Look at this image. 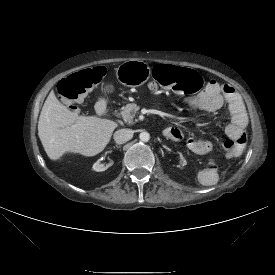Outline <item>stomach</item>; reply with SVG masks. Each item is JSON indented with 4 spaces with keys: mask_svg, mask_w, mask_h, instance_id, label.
<instances>
[{
    "mask_svg": "<svg viewBox=\"0 0 275 275\" xmlns=\"http://www.w3.org/2000/svg\"><path fill=\"white\" fill-rule=\"evenodd\" d=\"M115 75L117 80L128 87H138L150 77V67L143 61L131 59L120 64ZM110 87H107L109 90Z\"/></svg>",
    "mask_w": 275,
    "mask_h": 275,
    "instance_id": "stomach-1",
    "label": "stomach"
}]
</instances>
